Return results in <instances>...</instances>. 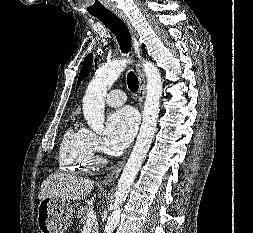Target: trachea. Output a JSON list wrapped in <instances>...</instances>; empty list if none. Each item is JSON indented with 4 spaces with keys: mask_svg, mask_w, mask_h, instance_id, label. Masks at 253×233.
I'll return each mask as SVG.
<instances>
[{
    "mask_svg": "<svg viewBox=\"0 0 253 233\" xmlns=\"http://www.w3.org/2000/svg\"><path fill=\"white\" fill-rule=\"evenodd\" d=\"M92 15L97 17L116 36L122 53H128L131 49V36L126 24L111 11ZM127 84L131 92H137L138 79L132 71L128 73Z\"/></svg>",
    "mask_w": 253,
    "mask_h": 233,
    "instance_id": "obj_1",
    "label": "trachea"
}]
</instances>
